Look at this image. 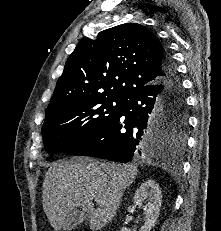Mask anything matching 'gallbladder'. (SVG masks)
I'll list each match as a JSON object with an SVG mask.
<instances>
[{"label":"gallbladder","instance_id":"bac80fb5","mask_svg":"<svg viewBox=\"0 0 221 231\" xmlns=\"http://www.w3.org/2000/svg\"><path fill=\"white\" fill-rule=\"evenodd\" d=\"M85 220H87V215L84 212L80 210H74L66 218L63 225V230L71 231L73 228L77 227V225L83 223Z\"/></svg>","mask_w":221,"mask_h":231}]
</instances>
